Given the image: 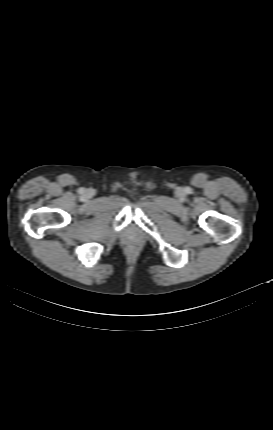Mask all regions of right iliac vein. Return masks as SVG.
<instances>
[{
  "instance_id": "obj_1",
  "label": "right iliac vein",
  "mask_w": 273,
  "mask_h": 430,
  "mask_svg": "<svg viewBox=\"0 0 273 430\" xmlns=\"http://www.w3.org/2000/svg\"><path fill=\"white\" fill-rule=\"evenodd\" d=\"M91 194H92V192H91V191H87V192H86V195H87V196H90Z\"/></svg>"
}]
</instances>
